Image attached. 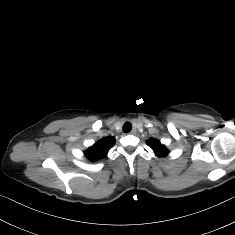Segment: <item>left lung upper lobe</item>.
<instances>
[{"label": "left lung upper lobe", "mask_w": 235, "mask_h": 235, "mask_svg": "<svg viewBox=\"0 0 235 235\" xmlns=\"http://www.w3.org/2000/svg\"><path fill=\"white\" fill-rule=\"evenodd\" d=\"M147 144L154 150L156 155L159 157H164L169 153L166 147L162 145L157 139L151 138L147 141Z\"/></svg>", "instance_id": "5c2ea615"}]
</instances>
